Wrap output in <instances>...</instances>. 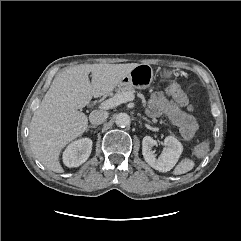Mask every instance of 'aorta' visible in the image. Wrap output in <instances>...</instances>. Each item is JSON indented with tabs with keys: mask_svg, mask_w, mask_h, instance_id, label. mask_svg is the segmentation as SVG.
<instances>
[{
	"mask_svg": "<svg viewBox=\"0 0 241 241\" xmlns=\"http://www.w3.org/2000/svg\"><path fill=\"white\" fill-rule=\"evenodd\" d=\"M115 123L119 127H126L130 124V116L127 113H119L115 117Z\"/></svg>",
	"mask_w": 241,
	"mask_h": 241,
	"instance_id": "762f6f07",
	"label": "aorta"
}]
</instances>
